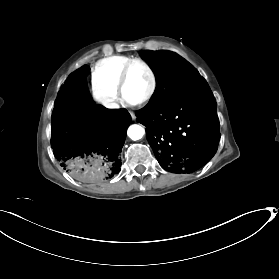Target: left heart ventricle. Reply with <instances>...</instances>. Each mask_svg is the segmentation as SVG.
<instances>
[{
	"label": "left heart ventricle",
	"instance_id": "obj_1",
	"mask_svg": "<svg viewBox=\"0 0 279 279\" xmlns=\"http://www.w3.org/2000/svg\"><path fill=\"white\" fill-rule=\"evenodd\" d=\"M151 78L147 70L139 65H134L127 77L125 99L134 102L143 98L149 91Z\"/></svg>",
	"mask_w": 279,
	"mask_h": 279
}]
</instances>
